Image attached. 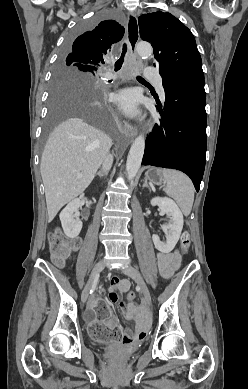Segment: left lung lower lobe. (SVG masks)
I'll return each instance as SVG.
<instances>
[{"label":"left lung lower lobe","instance_id":"1","mask_svg":"<svg viewBox=\"0 0 248 389\" xmlns=\"http://www.w3.org/2000/svg\"><path fill=\"white\" fill-rule=\"evenodd\" d=\"M162 119L146 139L143 165L186 173L199 191L206 160L204 75L180 77L164 87Z\"/></svg>","mask_w":248,"mask_h":389}]
</instances>
